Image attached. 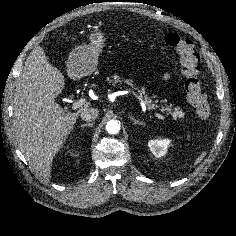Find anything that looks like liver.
<instances>
[{
	"label": "liver",
	"mask_w": 236,
	"mask_h": 236,
	"mask_svg": "<svg viewBox=\"0 0 236 236\" xmlns=\"http://www.w3.org/2000/svg\"><path fill=\"white\" fill-rule=\"evenodd\" d=\"M64 76L50 64L44 50L35 47L25 61L13 97L14 134L26 160L44 179L51 176L54 156L72 131L80 111L67 112L55 98Z\"/></svg>",
	"instance_id": "1"
}]
</instances>
